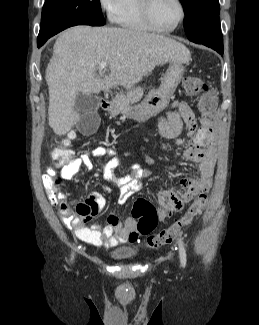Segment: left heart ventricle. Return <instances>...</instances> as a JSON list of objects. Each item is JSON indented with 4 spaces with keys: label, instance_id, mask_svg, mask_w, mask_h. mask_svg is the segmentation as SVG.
<instances>
[{
    "label": "left heart ventricle",
    "instance_id": "1",
    "mask_svg": "<svg viewBox=\"0 0 259 325\" xmlns=\"http://www.w3.org/2000/svg\"><path fill=\"white\" fill-rule=\"evenodd\" d=\"M179 16L180 9L176 0H152L151 17L158 27L162 29L173 27Z\"/></svg>",
    "mask_w": 259,
    "mask_h": 325
}]
</instances>
